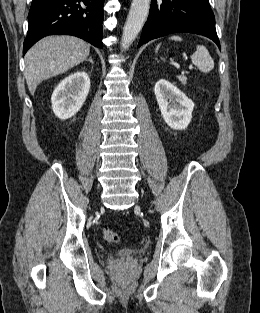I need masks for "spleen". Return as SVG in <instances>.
I'll return each instance as SVG.
<instances>
[{"mask_svg": "<svg viewBox=\"0 0 260 313\" xmlns=\"http://www.w3.org/2000/svg\"><path fill=\"white\" fill-rule=\"evenodd\" d=\"M169 39L174 41H182V38L177 35L171 36ZM159 47L160 45L157 46L156 50H158ZM191 61L203 73H208L214 68V61L210 56L207 48L203 45L197 46V50L191 56Z\"/></svg>", "mask_w": 260, "mask_h": 313, "instance_id": "spleen-1", "label": "spleen"}]
</instances>
